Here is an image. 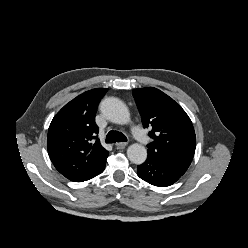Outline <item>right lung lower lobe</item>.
Segmentation results:
<instances>
[{
  "label": "right lung lower lobe",
  "instance_id": "98d812e1",
  "mask_svg": "<svg viewBox=\"0 0 248 248\" xmlns=\"http://www.w3.org/2000/svg\"><path fill=\"white\" fill-rule=\"evenodd\" d=\"M104 168H105V166L102 168V170H101L98 174L102 173V172H103V170H104ZM98 174H97V175H98Z\"/></svg>",
  "mask_w": 248,
  "mask_h": 248
}]
</instances>
